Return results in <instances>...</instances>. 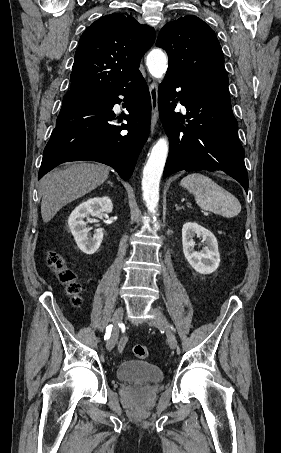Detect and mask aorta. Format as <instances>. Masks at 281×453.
I'll return each mask as SVG.
<instances>
[{
	"label": "aorta",
	"instance_id": "aorta-1",
	"mask_svg": "<svg viewBox=\"0 0 281 453\" xmlns=\"http://www.w3.org/2000/svg\"><path fill=\"white\" fill-rule=\"evenodd\" d=\"M149 73L156 79H162L168 67L166 54L160 49L152 50L146 60ZM169 150L168 139L161 137L152 147L143 170L142 191L148 211L155 214L159 202V183ZM157 227V225H155Z\"/></svg>",
	"mask_w": 281,
	"mask_h": 453
}]
</instances>
